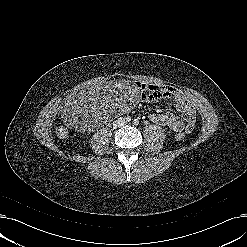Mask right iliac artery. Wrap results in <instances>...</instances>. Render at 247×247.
Listing matches in <instances>:
<instances>
[{
  "mask_svg": "<svg viewBox=\"0 0 247 247\" xmlns=\"http://www.w3.org/2000/svg\"><path fill=\"white\" fill-rule=\"evenodd\" d=\"M126 119H127L128 121H130V120H131V118H130V117H127Z\"/></svg>",
  "mask_w": 247,
  "mask_h": 247,
  "instance_id": "82829eb1",
  "label": "right iliac artery"
}]
</instances>
